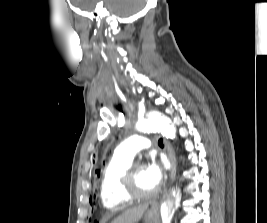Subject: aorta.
<instances>
[{"instance_id": "762f6f07", "label": "aorta", "mask_w": 267, "mask_h": 223, "mask_svg": "<svg viewBox=\"0 0 267 223\" xmlns=\"http://www.w3.org/2000/svg\"><path fill=\"white\" fill-rule=\"evenodd\" d=\"M136 128L140 131L159 132L169 139L176 137V129L170 120L160 116H152L137 123ZM181 202V194L177 188H172L161 200V221L171 223L176 208Z\"/></svg>"}]
</instances>
